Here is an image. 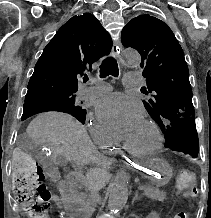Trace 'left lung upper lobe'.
<instances>
[{
  "label": "left lung upper lobe",
  "mask_w": 211,
  "mask_h": 218,
  "mask_svg": "<svg viewBox=\"0 0 211 218\" xmlns=\"http://www.w3.org/2000/svg\"><path fill=\"white\" fill-rule=\"evenodd\" d=\"M121 41L141 55L142 75L147 81V88L142 87L141 92L153 93L143 103L161 128L165 147L197 157L199 145L189 70L174 33L163 21L142 14L123 28Z\"/></svg>",
  "instance_id": "obj_1"
}]
</instances>
